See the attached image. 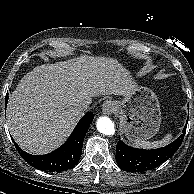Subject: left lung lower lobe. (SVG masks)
I'll return each mask as SVG.
<instances>
[{
    "mask_svg": "<svg viewBox=\"0 0 194 194\" xmlns=\"http://www.w3.org/2000/svg\"><path fill=\"white\" fill-rule=\"evenodd\" d=\"M186 126L183 133L169 145L152 150L137 149L127 146L122 141L117 143L116 161L119 167L127 172H143L151 170L173 156L178 150L186 133Z\"/></svg>",
    "mask_w": 194,
    "mask_h": 194,
    "instance_id": "obj_1",
    "label": "left lung lower lobe"
}]
</instances>
